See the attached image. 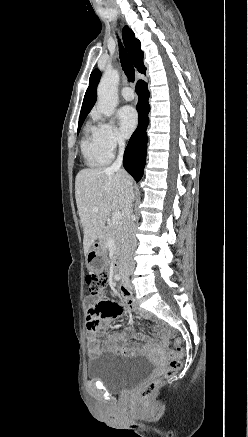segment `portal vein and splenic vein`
I'll list each match as a JSON object with an SVG mask.
<instances>
[{
  "mask_svg": "<svg viewBox=\"0 0 248 437\" xmlns=\"http://www.w3.org/2000/svg\"><path fill=\"white\" fill-rule=\"evenodd\" d=\"M93 211H98V208L97 207L93 208ZM121 218H122L121 212L119 210L114 211L112 215V224L113 225L118 224Z\"/></svg>",
  "mask_w": 248,
  "mask_h": 437,
  "instance_id": "obj_1",
  "label": "portal vein and splenic vein"
}]
</instances>
